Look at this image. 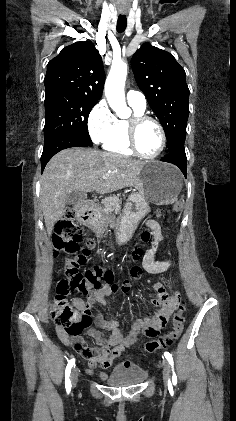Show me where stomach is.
Segmentation results:
<instances>
[{
	"label": "stomach",
	"instance_id": "1",
	"mask_svg": "<svg viewBox=\"0 0 236 421\" xmlns=\"http://www.w3.org/2000/svg\"><path fill=\"white\" fill-rule=\"evenodd\" d=\"M141 186L139 192L128 196L124 211L115 225L118 245L128 243L140 221L150 213L149 202L153 204H173L182 188V174L176 166L146 160L139 172ZM106 223H113L107 219Z\"/></svg>",
	"mask_w": 236,
	"mask_h": 421
}]
</instances>
